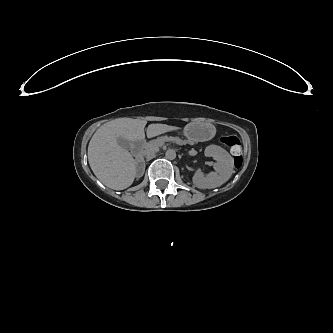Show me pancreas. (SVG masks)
<instances>
[{
  "label": "pancreas",
  "instance_id": "pancreas-1",
  "mask_svg": "<svg viewBox=\"0 0 333 333\" xmlns=\"http://www.w3.org/2000/svg\"><path fill=\"white\" fill-rule=\"evenodd\" d=\"M161 141H155V142H152L150 143L147 147H146V152H150L152 149H154L155 147H157L159 145ZM175 142H179V141H175ZM152 152L149 153V155L151 154Z\"/></svg>",
  "mask_w": 333,
  "mask_h": 333
}]
</instances>
